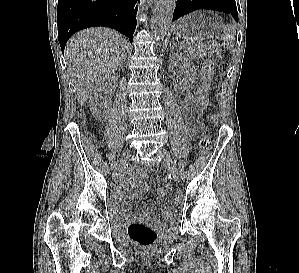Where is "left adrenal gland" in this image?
<instances>
[{"instance_id": "obj_1", "label": "left adrenal gland", "mask_w": 299, "mask_h": 273, "mask_svg": "<svg viewBox=\"0 0 299 273\" xmlns=\"http://www.w3.org/2000/svg\"><path fill=\"white\" fill-rule=\"evenodd\" d=\"M174 47H175V41H174V39H173L172 44L170 45V48H171V49H174Z\"/></svg>"}]
</instances>
